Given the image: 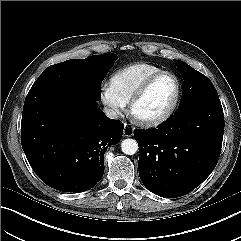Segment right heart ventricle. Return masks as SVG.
I'll list each match as a JSON object with an SVG mask.
<instances>
[{"label": "right heart ventricle", "mask_w": 241, "mask_h": 241, "mask_svg": "<svg viewBox=\"0 0 241 241\" xmlns=\"http://www.w3.org/2000/svg\"><path fill=\"white\" fill-rule=\"evenodd\" d=\"M159 66L149 63H134L114 72L110 84L119 96L129 103L139 87L153 74L162 71Z\"/></svg>", "instance_id": "obj_1"}]
</instances>
